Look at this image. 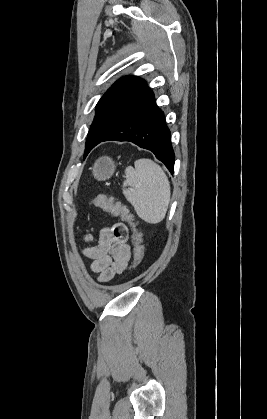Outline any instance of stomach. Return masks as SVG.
I'll list each match as a JSON object with an SVG mask.
<instances>
[{
	"instance_id": "stomach-1",
	"label": "stomach",
	"mask_w": 267,
	"mask_h": 419,
	"mask_svg": "<svg viewBox=\"0 0 267 419\" xmlns=\"http://www.w3.org/2000/svg\"><path fill=\"white\" fill-rule=\"evenodd\" d=\"M93 175L98 180L110 178L115 171V164L110 157L98 158L92 166Z\"/></svg>"
}]
</instances>
